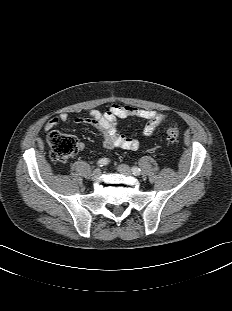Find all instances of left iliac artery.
<instances>
[{
  "instance_id": "obj_1",
  "label": "left iliac artery",
  "mask_w": 232,
  "mask_h": 311,
  "mask_svg": "<svg viewBox=\"0 0 232 311\" xmlns=\"http://www.w3.org/2000/svg\"><path fill=\"white\" fill-rule=\"evenodd\" d=\"M132 172H133V174L134 175H140V173H141V170H140V168H138V167H133L132 168Z\"/></svg>"
}]
</instances>
